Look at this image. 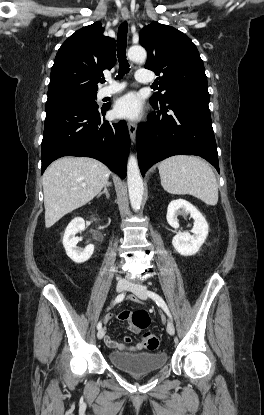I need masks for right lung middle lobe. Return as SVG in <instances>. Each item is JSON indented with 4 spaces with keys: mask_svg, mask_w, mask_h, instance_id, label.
<instances>
[{
    "mask_svg": "<svg viewBox=\"0 0 264 415\" xmlns=\"http://www.w3.org/2000/svg\"><path fill=\"white\" fill-rule=\"evenodd\" d=\"M95 94H66L54 98L47 99L46 110L50 108L67 106V105H81L89 107H97Z\"/></svg>",
    "mask_w": 264,
    "mask_h": 415,
    "instance_id": "dd1d6c3e",
    "label": "right lung middle lobe"
}]
</instances>
